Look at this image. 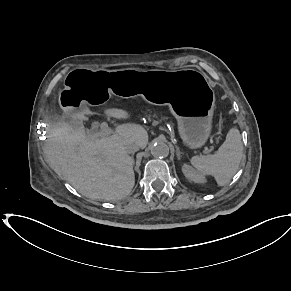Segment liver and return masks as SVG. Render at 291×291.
Listing matches in <instances>:
<instances>
[{
    "label": "liver",
    "instance_id": "obj_1",
    "mask_svg": "<svg viewBox=\"0 0 291 291\" xmlns=\"http://www.w3.org/2000/svg\"><path fill=\"white\" fill-rule=\"evenodd\" d=\"M107 116L127 119L123 109L104 110ZM73 126L63 119L53 123L47 133L48 155L55 167L82 195L99 200L115 201L128 196L135 184L134 159L126 151L129 143L144 149L148 133L138 124L126 123L112 135L94 138L87 134L84 112L71 113Z\"/></svg>",
    "mask_w": 291,
    "mask_h": 291
}]
</instances>
